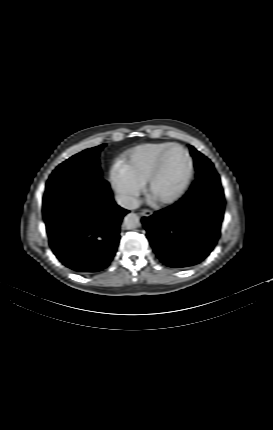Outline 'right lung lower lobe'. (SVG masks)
<instances>
[{
  "label": "right lung lower lobe",
  "instance_id": "1",
  "mask_svg": "<svg viewBox=\"0 0 273 430\" xmlns=\"http://www.w3.org/2000/svg\"><path fill=\"white\" fill-rule=\"evenodd\" d=\"M42 211L52 251L80 274L99 272L110 264L121 221L129 212L114 202L105 180L44 203Z\"/></svg>",
  "mask_w": 273,
  "mask_h": 430
}]
</instances>
